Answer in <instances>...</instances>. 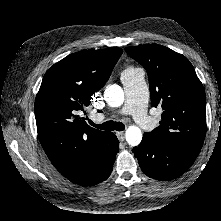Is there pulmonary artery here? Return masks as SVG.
<instances>
[{
	"instance_id": "obj_1",
	"label": "pulmonary artery",
	"mask_w": 221,
	"mask_h": 221,
	"mask_svg": "<svg viewBox=\"0 0 221 221\" xmlns=\"http://www.w3.org/2000/svg\"><path fill=\"white\" fill-rule=\"evenodd\" d=\"M121 81L125 90V102L120 110L123 115H130L139 126H152L153 118L147 113L148 86L142 69H135L121 74ZM103 114H96L92 118L100 121Z\"/></svg>"
}]
</instances>
